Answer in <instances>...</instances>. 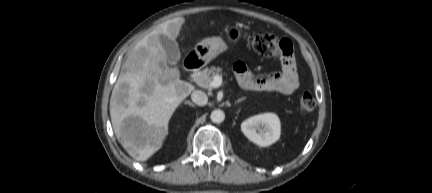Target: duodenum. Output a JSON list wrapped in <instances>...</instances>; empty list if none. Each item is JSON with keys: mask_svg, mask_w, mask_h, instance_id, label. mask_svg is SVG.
Instances as JSON below:
<instances>
[{"mask_svg": "<svg viewBox=\"0 0 432 193\" xmlns=\"http://www.w3.org/2000/svg\"><path fill=\"white\" fill-rule=\"evenodd\" d=\"M201 66V58L196 55L190 56L184 61V67L189 74L197 73L200 70Z\"/></svg>", "mask_w": 432, "mask_h": 193, "instance_id": "obj_1", "label": "duodenum"}]
</instances>
